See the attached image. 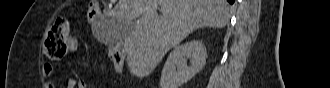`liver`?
<instances>
[{
    "instance_id": "1",
    "label": "liver",
    "mask_w": 330,
    "mask_h": 88,
    "mask_svg": "<svg viewBox=\"0 0 330 88\" xmlns=\"http://www.w3.org/2000/svg\"><path fill=\"white\" fill-rule=\"evenodd\" d=\"M158 5L162 15L157 14ZM108 16L117 23L135 20L120 42L130 73L143 78L194 30L223 28L229 6L226 0H119Z\"/></svg>"
}]
</instances>
